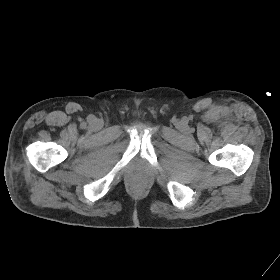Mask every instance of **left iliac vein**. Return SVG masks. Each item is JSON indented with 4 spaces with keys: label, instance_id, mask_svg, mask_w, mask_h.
Listing matches in <instances>:
<instances>
[{
    "label": "left iliac vein",
    "instance_id": "left-iliac-vein-1",
    "mask_svg": "<svg viewBox=\"0 0 280 280\" xmlns=\"http://www.w3.org/2000/svg\"><path fill=\"white\" fill-rule=\"evenodd\" d=\"M179 127H180L181 129H184V128H185L184 123H180V124H179Z\"/></svg>",
    "mask_w": 280,
    "mask_h": 280
}]
</instances>
